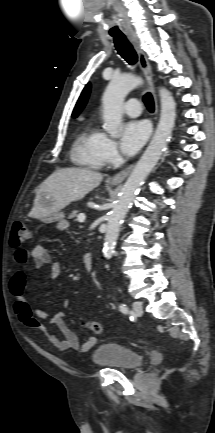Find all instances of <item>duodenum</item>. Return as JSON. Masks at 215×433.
Masks as SVG:
<instances>
[{"instance_id":"410a0bca","label":"duodenum","mask_w":215,"mask_h":433,"mask_svg":"<svg viewBox=\"0 0 215 433\" xmlns=\"http://www.w3.org/2000/svg\"><path fill=\"white\" fill-rule=\"evenodd\" d=\"M82 262L87 271L91 272L93 270V259L89 253L82 256Z\"/></svg>"}]
</instances>
